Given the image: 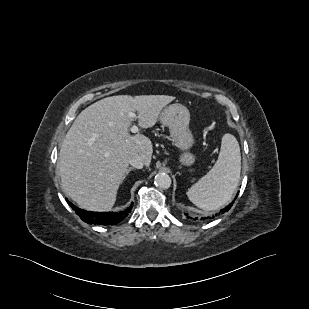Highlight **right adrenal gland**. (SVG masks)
Masks as SVG:
<instances>
[{
	"instance_id": "obj_1",
	"label": "right adrenal gland",
	"mask_w": 309,
	"mask_h": 309,
	"mask_svg": "<svg viewBox=\"0 0 309 309\" xmlns=\"http://www.w3.org/2000/svg\"><path fill=\"white\" fill-rule=\"evenodd\" d=\"M133 169H134V168L130 167L129 170H128V173H129L131 170H133Z\"/></svg>"
}]
</instances>
